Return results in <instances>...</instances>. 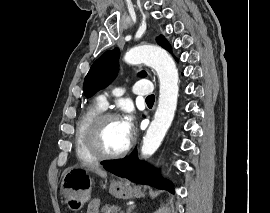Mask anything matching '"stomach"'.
I'll return each instance as SVG.
<instances>
[{"instance_id": "stomach-1", "label": "stomach", "mask_w": 270, "mask_h": 213, "mask_svg": "<svg viewBox=\"0 0 270 213\" xmlns=\"http://www.w3.org/2000/svg\"><path fill=\"white\" fill-rule=\"evenodd\" d=\"M93 178L88 169L68 168L63 173L62 194L64 202L70 210H80L90 198ZM109 192L122 199L134 196H143L136 188H132L126 180H113L109 186Z\"/></svg>"}]
</instances>
